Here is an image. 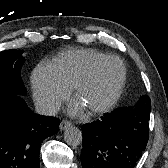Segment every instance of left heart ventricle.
Here are the masks:
<instances>
[{
    "label": "left heart ventricle",
    "mask_w": 168,
    "mask_h": 168,
    "mask_svg": "<svg viewBox=\"0 0 168 168\" xmlns=\"http://www.w3.org/2000/svg\"><path fill=\"white\" fill-rule=\"evenodd\" d=\"M120 74V66L116 61L105 62L98 69L93 81L82 90L78 101L86 109L101 105L109 97Z\"/></svg>",
    "instance_id": "left-heart-ventricle-1"
}]
</instances>
